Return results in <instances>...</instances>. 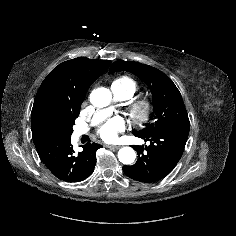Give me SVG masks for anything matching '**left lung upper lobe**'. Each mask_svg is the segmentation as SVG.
Listing matches in <instances>:
<instances>
[{
    "label": "left lung upper lobe",
    "instance_id": "5c2ea615",
    "mask_svg": "<svg viewBox=\"0 0 236 236\" xmlns=\"http://www.w3.org/2000/svg\"><path fill=\"white\" fill-rule=\"evenodd\" d=\"M127 71L142 79L152 92L153 114L146 128L135 136H149L173 124L189 122L181 94L173 81L160 70L133 61H115L109 74Z\"/></svg>",
    "mask_w": 236,
    "mask_h": 236
}]
</instances>
